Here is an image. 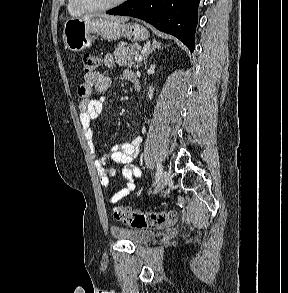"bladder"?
<instances>
[{"label": "bladder", "instance_id": "31cf9c89", "mask_svg": "<svg viewBox=\"0 0 288 293\" xmlns=\"http://www.w3.org/2000/svg\"><path fill=\"white\" fill-rule=\"evenodd\" d=\"M111 233L115 238L130 241L136 245L145 244L151 241L156 233L146 228H126L112 226Z\"/></svg>", "mask_w": 288, "mask_h": 293}]
</instances>
